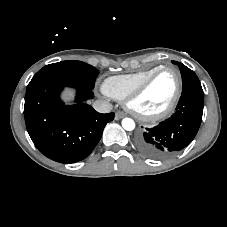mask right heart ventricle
Segmentation results:
<instances>
[{"label":"right heart ventricle","mask_w":227,"mask_h":227,"mask_svg":"<svg viewBox=\"0 0 227 227\" xmlns=\"http://www.w3.org/2000/svg\"><path fill=\"white\" fill-rule=\"evenodd\" d=\"M163 66H155L146 70L129 74L107 77L102 83V91L117 100L125 99L144 79Z\"/></svg>","instance_id":"right-heart-ventricle-1"}]
</instances>
